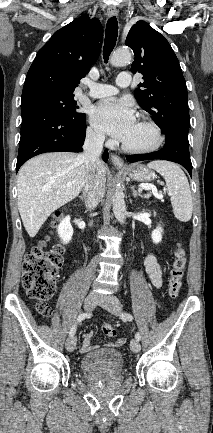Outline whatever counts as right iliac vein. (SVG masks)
Masks as SVG:
<instances>
[{"instance_id": "1", "label": "right iliac vein", "mask_w": 213, "mask_h": 433, "mask_svg": "<svg viewBox=\"0 0 213 433\" xmlns=\"http://www.w3.org/2000/svg\"><path fill=\"white\" fill-rule=\"evenodd\" d=\"M99 302V297L96 294H89L84 301V308L87 311H91L92 309L95 308V306L98 304ZM66 349L69 352L74 351L75 347H76V338L75 337H69L66 340Z\"/></svg>"}]
</instances>
